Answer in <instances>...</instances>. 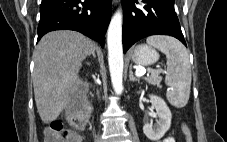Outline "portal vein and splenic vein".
<instances>
[{
	"label": "portal vein and splenic vein",
	"mask_w": 227,
	"mask_h": 142,
	"mask_svg": "<svg viewBox=\"0 0 227 142\" xmlns=\"http://www.w3.org/2000/svg\"><path fill=\"white\" fill-rule=\"evenodd\" d=\"M161 71L160 70H155V71H152L151 74H159ZM146 74V70H138L136 71V75L137 76H144Z\"/></svg>",
	"instance_id": "portal-vein-and-splenic-vein-1"
}]
</instances>
